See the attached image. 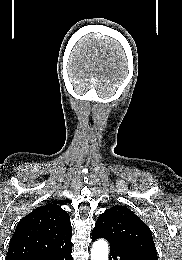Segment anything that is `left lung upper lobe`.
I'll return each mask as SVG.
<instances>
[{
  "label": "left lung upper lobe",
  "instance_id": "1",
  "mask_svg": "<svg viewBox=\"0 0 182 260\" xmlns=\"http://www.w3.org/2000/svg\"><path fill=\"white\" fill-rule=\"evenodd\" d=\"M92 233L100 234L111 242L157 258L149 227L126 207L113 206L102 213Z\"/></svg>",
  "mask_w": 182,
  "mask_h": 260
}]
</instances>
